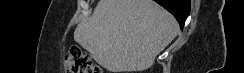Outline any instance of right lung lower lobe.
Instances as JSON below:
<instances>
[{
    "instance_id": "98d812e1",
    "label": "right lung lower lobe",
    "mask_w": 244,
    "mask_h": 73,
    "mask_svg": "<svg viewBox=\"0 0 244 73\" xmlns=\"http://www.w3.org/2000/svg\"><path fill=\"white\" fill-rule=\"evenodd\" d=\"M171 12L182 29L190 13V0H154Z\"/></svg>"
}]
</instances>
